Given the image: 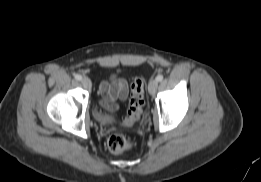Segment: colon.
<instances>
[{
    "instance_id": "obj_1",
    "label": "colon",
    "mask_w": 261,
    "mask_h": 182,
    "mask_svg": "<svg viewBox=\"0 0 261 182\" xmlns=\"http://www.w3.org/2000/svg\"><path fill=\"white\" fill-rule=\"evenodd\" d=\"M144 107V79L137 77L131 84V96L129 109L124 117V125L131 126L137 122L143 112ZM133 143L123 135H112L107 140V148L114 154H121L130 150Z\"/></svg>"
}]
</instances>
